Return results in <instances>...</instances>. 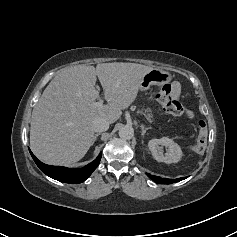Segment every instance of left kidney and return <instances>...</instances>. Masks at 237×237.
Returning a JSON list of instances; mask_svg holds the SVG:
<instances>
[{
	"label": "left kidney",
	"mask_w": 237,
	"mask_h": 237,
	"mask_svg": "<svg viewBox=\"0 0 237 237\" xmlns=\"http://www.w3.org/2000/svg\"><path fill=\"white\" fill-rule=\"evenodd\" d=\"M163 146L166 147L167 152L164 154ZM149 150L152 156L158 162L167 164L177 163L182 157V150L178 144L172 139L162 137L160 139H152L148 142Z\"/></svg>",
	"instance_id": "obj_1"
}]
</instances>
